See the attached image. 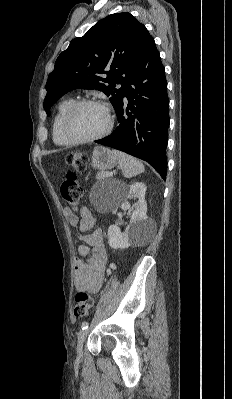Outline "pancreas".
Segmentation results:
<instances>
[{
    "mask_svg": "<svg viewBox=\"0 0 232 399\" xmlns=\"http://www.w3.org/2000/svg\"><path fill=\"white\" fill-rule=\"evenodd\" d=\"M104 178H110V176H107L106 172H103V170L97 172L96 180H104Z\"/></svg>",
    "mask_w": 232,
    "mask_h": 399,
    "instance_id": "1",
    "label": "pancreas"
}]
</instances>
